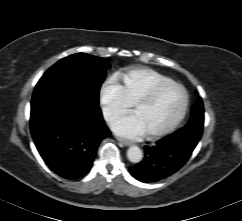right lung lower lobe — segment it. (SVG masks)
I'll return each instance as SVG.
<instances>
[{"instance_id":"obj_1","label":"right lung lower lobe","mask_w":242,"mask_h":221,"mask_svg":"<svg viewBox=\"0 0 242 221\" xmlns=\"http://www.w3.org/2000/svg\"><path fill=\"white\" fill-rule=\"evenodd\" d=\"M30 129L43 160L66 179L86 175L100 142L111 134L100 108L71 92L32 103Z\"/></svg>"}]
</instances>
